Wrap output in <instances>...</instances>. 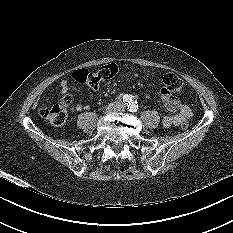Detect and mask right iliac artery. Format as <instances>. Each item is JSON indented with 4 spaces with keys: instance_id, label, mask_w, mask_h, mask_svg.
Listing matches in <instances>:
<instances>
[{
    "instance_id": "82829eb1",
    "label": "right iliac artery",
    "mask_w": 233,
    "mask_h": 233,
    "mask_svg": "<svg viewBox=\"0 0 233 233\" xmlns=\"http://www.w3.org/2000/svg\"><path fill=\"white\" fill-rule=\"evenodd\" d=\"M130 101H132L131 95L126 94V95L123 96V102H124L125 104L130 103Z\"/></svg>"
}]
</instances>
